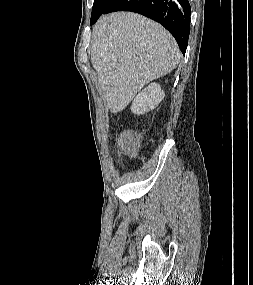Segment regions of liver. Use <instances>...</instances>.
<instances>
[{
	"label": "liver",
	"mask_w": 253,
	"mask_h": 285,
	"mask_svg": "<svg viewBox=\"0 0 253 285\" xmlns=\"http://www.w3.org/2000/svg\"><path fill=\"white\" fill-rule=\"evenodd\" d=\"M92 38L91 63L111 113L122 111L145 84L170 73L181 59L164 27L132 12L102 16Z\"/></svg>",
	"instance_id": "1"
}]
</instances>
